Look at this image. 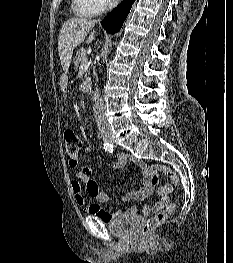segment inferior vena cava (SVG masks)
<instances>
[{
	"instance_id": "inferior-vena-cava-1",
	"label": "inferior vena cava",
	"mask_w": 233,
	"mask_h": 263,
	"mask_svg": "<svg viewBox=\"0 0 233 263\" xmlns=\"http://www.w3.org/2000/svg\"><path fill=\"white\" fill-rule=\"evenodd\" d=\"M114 3H115V0H112L109 4V8H112ZM97 21H100V19L95 20L94 22H97ZM104 112H105L104 102H103V99L101 98V95H100L98 89H97L96 90V101H95V107H94L96 122H97V125L99 126V128H101L103 130H110L111 127L107 121L106 116L104 115Z\"/></svg>"
}]
</instances>
